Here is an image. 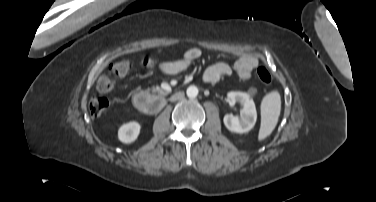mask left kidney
Wrapping results in <instances>:
<instances>
[{
    "instance_id": "obj_1",
    "label": "left kidney",
    "mask_w": 376,
    "mask_h": 202,
    "mask_svg": "<svg viewBox=\"0 0 376 202\" xmlns=\"http://www.w3.org/2000/svg\"><path fill=\"white\" fill-rule=\"evenodd\" d=\"M228 99L231 103H240L243 108L240 117L227 114L224 116V124L228 130L236 133L250 131L257 120V111L253 99L244 92H229Z\"/></svg>"
}]
</instances>
